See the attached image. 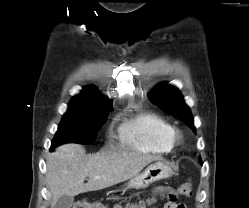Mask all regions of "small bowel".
I'll return each instance as SVG.
<instances>
[{"mask_svg":"<svg viewBox=\"0 0 249 208\" xmlns=\"http://www.w3.org/2000/svg\"><path fill=\"white\" fill-rule=\"evenodd\" d=\"M156 193H164L168 197V201L165 203L164 208H181L182 203L176 201V196L172 189L168 187H159L155 190ZM184 205V204H183Z\"/></svg>","mask_w":249,"mask_h":208,"instance_id":"1","label":"small bowel"}]
</instances>
